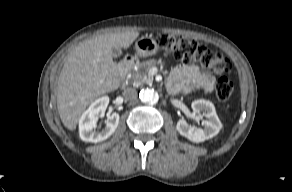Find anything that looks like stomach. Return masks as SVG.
Instances as JSON below:
<instances>
[{
	"instance_id": "stomach-1",
	"label": "stomach",
	"mask_w": 292,
	"mask_h": 192,
	"mask_svg": "<svg viewBox=\"0 0 292 192\" xmlns=\"http://www.w3.org/2000/svg\"><path fill=\"white\" fill-rule=\"evenodd\" d=\"M158 49V43L151 36L141 37L135 43L136 55L141 58L156 54Z\"/></svg>"
}]
</instances>
